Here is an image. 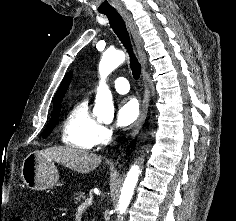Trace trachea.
<instances>
[{
  "label": "trachea",
  "instance_id": "obj_1",
  "mask_svg": "<svg viewBox=\"0 0 236 221\" xmlns=\"http://www.w3.org/2000/svg\"><path fill=\"white\" fill-rule=\"evenodd\" d=\"M109 19V23L119 40L122 42L124 47L126 48L129 57H130V68L132 71L133 78L138 80L141 74V65L138 62L137 57L135 56L132 48V44L130 41L129 33L126 29L125 23L117 11H108L103 12Z\"/></svg>",
  "mask_w": 236,
  "mask_h": 221
}]
</instances>
